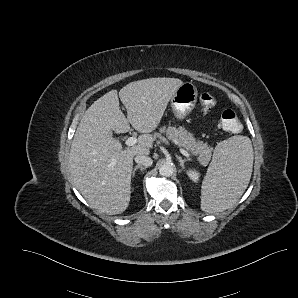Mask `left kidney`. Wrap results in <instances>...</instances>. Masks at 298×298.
<instances>
[{
  "mask_svg": "<svg viewBox=\"0 0 298 298\" xmlns=\"http://www.w3.org/2000/svg\"><path fill=\"white\" fill-rule=\"evenodd\" d=\"M185 174L188 177V179L193 183H199L202 176L199 170L191 167L185 169Z\"/></svg>",
  "mask_w": 298,
  "mask_h": 298,
  "instance_id": "5707ae66",
  "label": "left kidney"
}]
</instances>
